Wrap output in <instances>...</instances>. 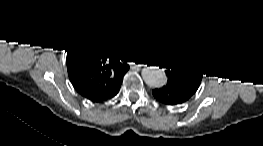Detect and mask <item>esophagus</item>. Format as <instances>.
I'll return each instance as SVG.
<instances>
[{
  "mask_svg": "<svg viewBox=\"0 0 263 146\" xmlns=\"http://www.w3.org/2000/svg\"><path fill=\"white\" fill-rule=\"evenodd\" d=\"M133 69L140 70L141 69V64L140 63H134L133 64Z\"/></svg>",
  "mask_w": 263,
  "mask_h": 146,
  "instance_id": "34e87169",
  "label": "esophagus"
}]
</instances>
